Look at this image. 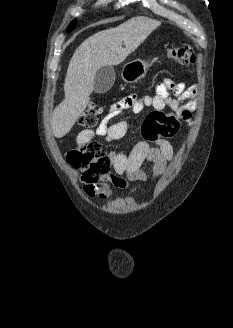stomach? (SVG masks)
<instances>
[{
  "label": "stomach",
  "instance_id": "0dacf381",
  "mask_svg": "<svg viewBox=\"0 0 233 328\" xmlns=\"http://www.w3.org/2000/svg\"><path fill=\"white\" fill-rule=\"evenodd\" d=\"M148 66L149 63L144 60H133L124 65L121 73L122 79L127 83H136L145 76Z\"/></svg>",
  "mask_w": 233,
  "mask_h": 328
}]
</instances>
